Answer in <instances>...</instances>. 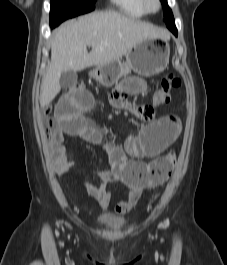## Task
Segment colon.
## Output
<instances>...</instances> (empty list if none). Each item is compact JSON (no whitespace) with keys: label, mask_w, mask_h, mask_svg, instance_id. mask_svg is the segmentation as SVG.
I'll return each mask as SVG.
<instances>
[{"label":"colon","mask_w":227,"mask_h":265,"mask_svg":"<svg viewBox=\"0 0 227 265\" xmlns=\"http://www.w3.org/2000/svg\"><path fill=\"white\" fill-rule=\"evenodd\" d=\"M180 86V79L173 74H168L165 76L161 83L159 89L155 92L153 96L152 105L142 106L141 112H138L139 116L143 119H152L154 116V107L158 105L167 104L171 100V92L174 88ZM71 87H83L81 84H74ZM46 114L50 113V109L45 110ZM55 122L49 119L47 122V133L52 136L55 130ZM175 162V156L171 153L159 158L155 162L154 172L158 176V180H165L171 170L173 169Z\"/></svg>","instance_id":"colon-1"}]
</instances>
